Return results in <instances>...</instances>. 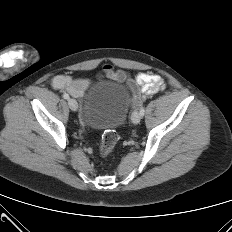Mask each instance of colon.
I'll use <instances>...</instances> for the list:
<instances>
[{
	"mask_svg": "<svg viewBox=\"0 0 232 232\" xmlns=\"http://www.w3.org/2000/svg\"><path fill=\"white\" fill-rule=\"evenodd\" d=\"M118 140V134L115 130H107L103 136L99 147L101 157H107L114 149Z\"/></svg>",
	"mask_w": 232,
	"mask_h": 232,
	"instance_id": "colon-1",
	"label": "colon"
}]
</instances>
